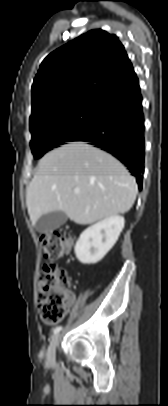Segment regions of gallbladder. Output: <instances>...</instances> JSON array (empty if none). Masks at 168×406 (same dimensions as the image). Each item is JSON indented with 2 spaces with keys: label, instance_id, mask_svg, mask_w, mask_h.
Wrapping results in <instances>:
<instances>
[{
  "label": "gallbladder",
  "instance_id": "1",
  "mask_svg": "<svg viewBox=\"0 0 168 406\" xmlns=\"http://www.w3.org/2000/svg\"><path fill=\"white\" fill-rule=\"evenodd\" d=\"M67 215L62 211H54L42 215L35 224L39 233H51L67 222Z\"/></svg>",
  "mask_w": 168,
  "mask_h": 406
}]
</instances>
